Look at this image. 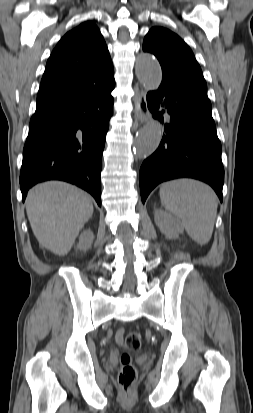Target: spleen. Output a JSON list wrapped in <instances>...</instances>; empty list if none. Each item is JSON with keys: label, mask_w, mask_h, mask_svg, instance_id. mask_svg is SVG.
I'll return each instance as SVG.
<instances>
[{"label": "spleen", "mask_w": 253, "mask_h": 413, "mask_svg": "<svg viewBox=\"0 0 253 413\" xmlns=\"http://www.w3.org/2000/svg\"><path fill=\"white\" fill-rule=\"evenodd\" d=\"M162 206L181 219L188 235L198 244L211 239L218 198L212 188L192 179L164 183L159 190Z\"/></svg>", "instance_id": "1"}]
</instances>
